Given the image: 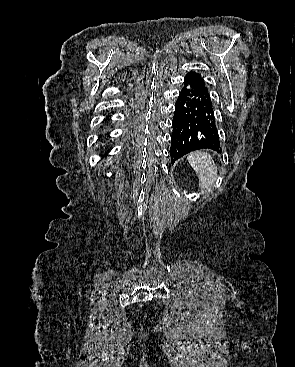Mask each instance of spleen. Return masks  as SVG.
<instances>
[{"mask_svg": "<svg viewBox=\"0 0 295 367\" xmlns=\"http://www.w3.org/2000/svg\"><path fill=\"white\" fill-rule=\"evenodd\" d=\"M188 162L199 179L202 192L209 191L217 178V167L210 154L195 151L187 156Z\"/></svg>", "mask_w": 295, "mask_h": 367, "instance_id": "obj_1", "label": "spleen"}]
</instances>
